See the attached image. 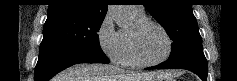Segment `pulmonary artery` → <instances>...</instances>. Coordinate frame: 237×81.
Instances as JSON below:
<instances>
[{
    "instance_id": "pulmonary-artery-1",
    "label": "pulmonary artery",
    "mask_w": 237,
    "mask_h": 81,
    "mask_svg": "<svg viewBox=\"0 0 237 81\" xmlns=\"http://www.w3.org/2000/svg\"><path fill=\"white\" fill-rule=\"evenodd\" d=\"M127 9L129 12H132V13L144 14V10L142 6H128Z\"/></svg>"
}]
</instances>
